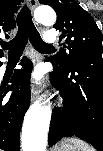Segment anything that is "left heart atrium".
Here are the masks:
<instances>
[{"instance_id": "left-heart-atrium-1", "label": "left heart atrium", "mask_w": 103, "mask_h": 151, "mask_svg": "<svg viewBox=\"0 0 103 151\" xmlns=\"http://www.w3.org/2000/svg\"><path fill=\"white\" fill-rule=\"evenodd\" d=\"M41 77H42V73H41V71H39V70H36V71L33 73V76H32V78H33L34 81L40 80Z\"/></svg>"}]
</instances>
